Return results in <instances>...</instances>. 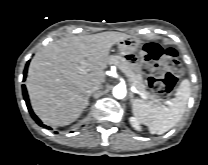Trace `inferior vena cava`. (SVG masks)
<instances>
[{
	"label": "inferior vena cava",
	"mask_w": 208,
	"mask_h": 165,
	"mask_svg": "<svg viewBox=\"0 0 208 165\" xmlns=\"http://www.w3.org/2000/svg\"><path fill=\"white\" fill-rule=\"evenodd\" d=\"M101 85L100 84H92L89 86L88 92L92 93L98 89H100Z\"/></svg>",
	"instance_id": "602c4592"
}]
</instances>
